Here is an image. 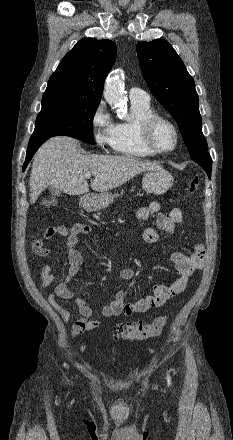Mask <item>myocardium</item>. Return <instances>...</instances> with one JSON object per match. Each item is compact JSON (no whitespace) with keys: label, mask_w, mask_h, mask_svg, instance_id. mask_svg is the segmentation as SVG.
I'll use <instances>...</instances> for the list:
<instances>
[{"label":"myocardium","mask_w":233,"mask_h":440,"mask_svg":"<svg viewBox=\"0 0 233 440\" xmlns=\"http://www.w3.org/2000/svg\"><path fill=\"white\" fill-rule=\"evenodd\" d=\"M160 122L169 125L174 133L175 141H174V145L170 149H161L157 147L153 142L154 128ZM139 133H140L141 142L144 145V147L155 155L170 153L174 151L179 144L180 135L175 123L168 117L157 113L148 115L147 117L141 120V122L139 123Z\"/></svg>","instance_id":"myocardium-1"}]
</instances>
